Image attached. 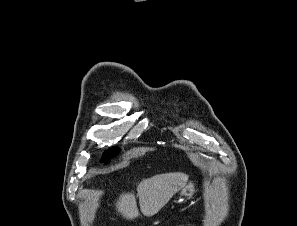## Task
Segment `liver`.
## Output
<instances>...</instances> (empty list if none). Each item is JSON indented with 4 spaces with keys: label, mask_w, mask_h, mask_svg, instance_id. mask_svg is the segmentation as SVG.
<instances>
[{
    "label": "liver",
    "mask_w": 297,
    "mask_h": 226,
    "mask_svg": "<svg viewBox=\"0 0 297 226\" xmlns=\"http://www.w3.org/2000/svg\"><path fill=\"white\" fill-rule=\"evenodd\" d=\"M187 181L188 176L180 172L159 174L142 181L137 188L141 213L144 216L157 214L173 195L187 184ZM116 208L129 220L140 215L133 193L120 195Z\"/></svg>",
    "instance_id": "1"
}]
</instances>
